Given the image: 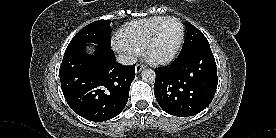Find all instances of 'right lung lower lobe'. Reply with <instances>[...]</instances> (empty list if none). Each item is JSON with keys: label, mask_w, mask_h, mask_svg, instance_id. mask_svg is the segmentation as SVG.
Listing matches in <instances>:
<instances>
[{"label": "right lung lower lobe", "mask_w": 276, "mask_h": 138, "mask_svg": "<svg viewBox=\"0 0 276 138\" xmlns=\"http://www.w3.org/2000/svg\"><path fill=\"white\" fill-rule=\"evenodd\" d=\"M84 48L65 51L59 70L62 92L79 116L95 122L110 120L127 104L135 65L116 62L111 47L98 45L92 56Z\"/></svg>", "instance_id": "1"}]
</instances>
